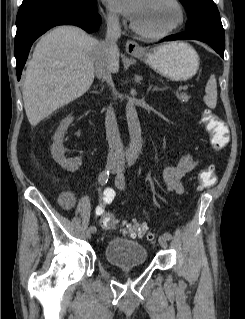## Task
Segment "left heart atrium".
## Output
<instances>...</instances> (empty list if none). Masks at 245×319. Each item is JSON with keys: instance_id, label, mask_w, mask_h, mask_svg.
Wrapping results in <instances>:
<instances>
[{"instance_id": "left-heart-atrium-1", "label": "left heart atrium", "mask_w": 245, "mask_h": 319, "mask_svg": "<svg viewBox=\"0 0 245 319\" xmlns=\"http://www.w3.org/2000/svg\"><path fill=\"white\" fill-rule=\"evenodd\" d=\"M112 8L121 12L130 20H134L144 0H105Z\"/></svg>"}]
</instances>
